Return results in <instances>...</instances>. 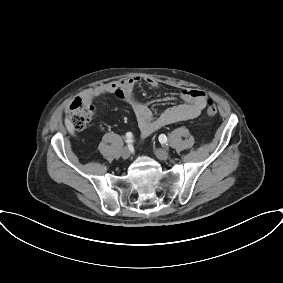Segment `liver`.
Masks as SVG:
<instances>
[{
  "mask_svg": "<svg viewBox=\"0 0 283 283\" xmlns=\"http://www.w3.org/2000/svg\"><path fill=\"white\" fill-rule=\"evenodd\" d=\"M65 125H66V128H67V130L71 133V134H73L74 133V126H73V124L71 123V121L69 120V119H65Z\"/></svg>",
  "mask_w": 283,
  "mask_h": 283,
  "instance_id": "liver-1",
  "label": "liver"
}]
</instances>
